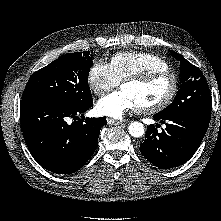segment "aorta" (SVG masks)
Wrapping results in <instances>:
<instances>
[{
	"label": "aorta",
	"mask_w": 221,
	"mask_h": 221,
	"mask_svg": "<svg viewBox=\"0 0 221 221\" xmlns=\"http://www.w3.org/2000/svg\"><path fill=\"white\" fill-rule=\"evenodd\" d=\"M128 130H129V134L132 137H141L143 136L145 129L142 123L140 122H132L129 126H128Z\"/></svg>",
	"instance_id": "1"
}]
</instances>
